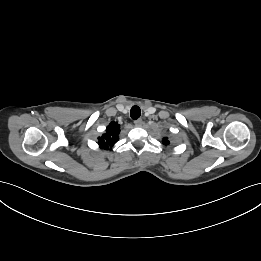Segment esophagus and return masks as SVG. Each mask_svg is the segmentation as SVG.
I'll return each mask as SVG.
<instances>
[{
	"label": "esophagus",
	"instance_id": "1",
	"mask_svg": "<svg viewBox=\"0 0 261 261\" xmlns=\"http://www.w3.org/2000/svg\"><path fill=\"white\" fill-rule=\"evenodd\" d=\"M135 126L137 127H141L143 125V120L142 119H137L135 122H134Z\"/></svg>",
	"mask_w": 261,
	"mask_h": 261
}]
</instances>
